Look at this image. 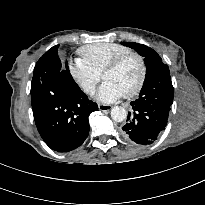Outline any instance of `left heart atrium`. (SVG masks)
<instances>
[{"instance_id": "left-heart-atrium-1", "label": "left heart atrium", "mask_w": 205, "mask_h": 205, "mask_svg": "<svg viewBox=\"0 0 205 205\" xmlns=\"http://www.w3.org/2000/svg\"><path fill=\"white\" fill-rule=\"evenodd\" d=\"M123 95V91L117 85L110 81H104L98 90L97 99L110 103L120 99Z\"/></svg>"}]
</instances>
